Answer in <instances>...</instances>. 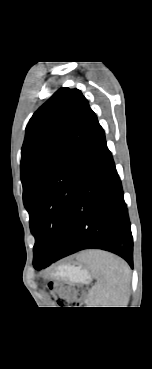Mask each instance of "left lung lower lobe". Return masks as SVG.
<instances>
[{"mask_svg": "<svg viewBox=\"0 0 152 369\" xmlns=\"http://www.w3.org/2000/svg\"><path fill=\"white\" fill-rule=\"evenodd\" d=\"M84 167L62 245L53 258L38 264L37 270L89 248L113 252L133 268V239L123 189L99 123L86 153Z\"/></svg>", "mask_w": 152, "mask_h": 369, "instance_id": "obj_1", "label": "left lung lower lobe"}]
</instances>
